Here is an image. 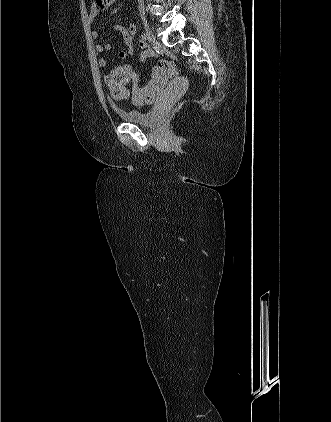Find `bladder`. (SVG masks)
I'll return each instance as SVG.
<instances>
[{
    "label": "bladder",
    "mask_w": 331,
    "mask_h": 422,
    "mask_svg": "<svg viewBox=\"0 0 331 422\" xmlns=\"http://www.w3.org/2000/svg\"><path fill=\"white\" fill-rule=\"evenodd\" d=\"M164 99V97H160L148 110H120L119 114L120 116L129 123L141 125V126H150L155 123L158 113H159V107L158 103L161 102Z\"/></svg>",
    "instance_id": "1"
}]
</instances>
